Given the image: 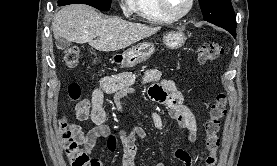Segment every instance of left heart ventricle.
Masks as SVG:
<instances>
[{"label":"left heart ventricle","mask_w":277,"mask_h":166,"mask_svg":"<svg viewBox=\"0 0 277 166\" xmlns=\"http://www.w3.org/2000/svg\"><path fill=\"white\" fill-rule=\"evenodd\" d=\"M166 2L169 10L175 14L183 12L188 5V0H166Z\"/></svg>","instance_id":"b2bd125f"}]
</instances>
